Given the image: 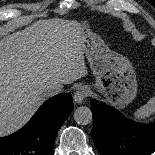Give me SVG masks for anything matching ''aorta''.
I'll list each match as a JSON object with an SVG mask.
<instances>
[{
	"label": "aorta",
	"mask_w": 155,
	"mask_h": 155,
	"mask_svg": "<svg viewBox=\"0 0 155 155\" xmlns=\"http://www.w3.org/2000/svg\"><path fill=\"white\" fill-rule=\"evenodd\" d=\"M74 120L80 125L90 124L93 120L90 108L86 106L78 107L74 112Z\"/></svg>",
	"instance_id": "762f6f07"
}]
</instances>
